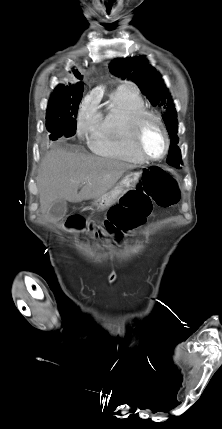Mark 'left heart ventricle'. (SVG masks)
Returning a JSON list of instances; mask_svg holds the SVG:
<instances>
[{"mask_svg":"<svg viewBox=\"0 0 222 429\" xmlns=\"http://www.w3.org/2000/svg\"><path fill=\"white\" fill-rule=\"evenodd\" d=\"M141 144L147 154L159 157L165 149V139L157 122L151 118L145 120L141 131Z\"/></svg>","mask_w":222,"mask_h":429,"instance_id":"left-heart-ventricle-1","label":"left heart ventricle"}]
</instances>
